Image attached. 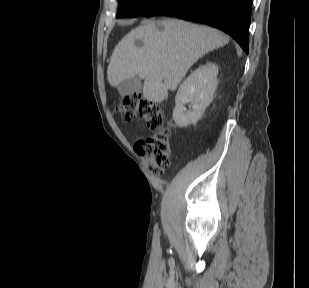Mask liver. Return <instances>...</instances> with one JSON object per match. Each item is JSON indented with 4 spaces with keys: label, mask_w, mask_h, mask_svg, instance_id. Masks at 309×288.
I'll list each match as a JSON object with an SVG mask.
<instances>
[{
    "label": "liver",
    "mask_w": 309,
    "mask_h": 288,
    "mask_svg": "<svg viewBox=\"0 0 309 288\" xmlns=\"http://www.w3.org/2000/svg\"><path fill=\"white\" fill-rule=\"evenodd\" d=\"M140 41L141 45H137ZM221 31L176 19L145 21L115 47L107 69L113 87L127 78L144 80L143 97L162 102L202 56L226 45Z\"/></svg>",
    "instance_id": "1"
}]
</instances>
